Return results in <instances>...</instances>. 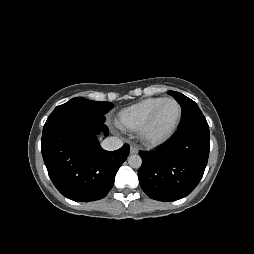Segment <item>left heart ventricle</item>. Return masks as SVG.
Segmentation results:
<instances>
[{
	"instance_id": "b2bd125f",
	"label": "left heart ventricle",
	"mask_w": 254,
	"mask_h": 254,
	"mask_svg": "<svg viewBox=\"0 0 254 254\" xmlns=\"http://www.w3.org/2000/svg\"><path fill=\"white\" fill-rule=\"evenodd\" d=\"M178 112L179 109L176 103H164L149 130V135L153 138H158L166 134L173 127Z\"/></svg>"
}]
</instances>
